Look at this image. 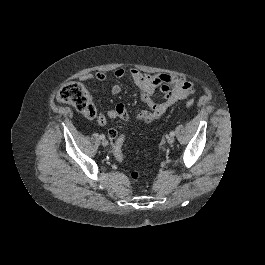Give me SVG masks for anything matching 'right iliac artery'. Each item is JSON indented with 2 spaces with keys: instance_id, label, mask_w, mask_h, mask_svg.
Listing matches in <instances>:
<instances>
[{
  "instance_id": "82829eb1",
  "label": "right iliac artery",
  "mask_w": 265,
  "mask_h": 265,
  "mask_svg": "<svg viewBox=\"0 0 265 265\" xmlns=\"http://www.w3.org/2000/svg\"><path fill=\"white\" fill-rule=\"evenodd\" d=\"M100 139H105V136L103 134L100 135Z\"/></svg>"
}]
</instances>
